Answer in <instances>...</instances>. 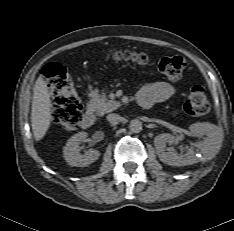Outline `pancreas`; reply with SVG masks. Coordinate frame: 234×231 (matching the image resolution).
I'll list each match as a JSON object with an SVG mask.
<instances>
[{"instance_id": "1", "label": "pancreas", "mask_w": 234, "mask_h": 231, "mask_svg": "<svg viewBox=\"0 0 234 231\" xmlns=\"http://www.w3.org/2000/svg\"><path fill=\"white\" fill-rule=\"evenodd\" d=\"M120 102L115 100H108L106 95L102 93L98 94V91H93L91 93V100L89 106L97 113V115L102 116L109 113L118 107H120Z\"/></svg>"}]
</instances>
